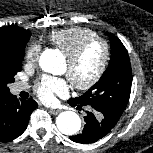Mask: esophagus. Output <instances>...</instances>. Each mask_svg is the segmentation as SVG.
I'll return each instance as SVG.
<instances>
[{
  "instance_id": "1",
  "label": "esophagus",
  "mask_w": 153,
  "mask_h": 153,
  "mask_svg": "<svg viewBox=\"0 0 153 153\" xmlns=\"http://www.w3.org/2000/svg\"><path fill=\"white\" fill-rule=\"evenodd\" d=\"M49 112L53 115H57L60 113V110L59 109H49Z\"/></svg>"
}]
</instances>
